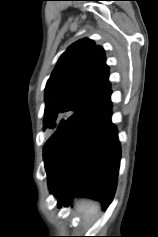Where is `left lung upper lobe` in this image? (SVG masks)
I'll return each mask as SVG.
<instances>
[{"instance_id":"1","label":"left lung upper lobe","mask_w":158,"mask_h":237,"mask_svg":"<svg viewBox=\"0 0 158 237\" xmlns=\"http://www.w3.org/2000/svg\"><path fill=\"white\" fill-rule=\"evenodd\" d=\"M105 54L92 40L71 45L59 58L45 88L44 130L57 129L66 118L110 89Z\"/></svg>"}]
</instances>
